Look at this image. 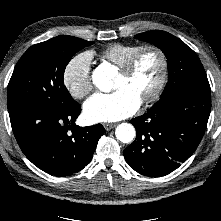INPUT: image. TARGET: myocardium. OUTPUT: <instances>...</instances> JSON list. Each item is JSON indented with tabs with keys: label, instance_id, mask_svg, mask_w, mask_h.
<instances>
[{
	"label": "myocardium",
	"instance_id": "myocardium-1",
	"mask_svg": "<svg viewBox=\"0 0 221 221\" xmlns=\"http://www.w3.org/2000/svg\"><path fill=\"white\" fill-rule=\"evenodd\" d=\"M152 51L157 54L160 60V75L157 80L156 85L151 90L149 94H147L141 101V104H150L156 101L159 96L161 95L168 76V59L165 54V52L156 45H146L140 47L138 50H136L124 63L122 66H120V73L128 76L130 75L139 60V58L146 52Z\"/></svg>",
	"mask_w": 221,
	"mask_h": 221
}]
</instances>
